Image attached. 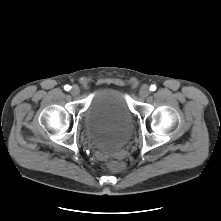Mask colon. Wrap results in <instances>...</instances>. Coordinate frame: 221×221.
I'll list each match as a JSON object with an SVG mask.
<instances>
[{
    "label": "colon",
    "mask_w": 221,
    "mask_h": 221,
    "mask_svg": "<svg viewBox=\"0 0 221 221\" xmlns=\"http://www.w3.org/2000/svg\"><path fill=\"white\" fill-rule=\"evenodd\" d=\"M108 168L112 171H122L125 168V164L124 162L120 161V160H110L108 161Z\"/></svg>",
    "instance_id": "5ec220e1"
}]
</instances>
